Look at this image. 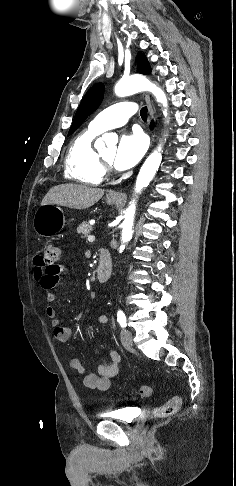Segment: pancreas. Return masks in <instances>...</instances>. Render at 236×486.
<instances>
[{
    "mask_svg": "<svg viewBox=\"0 0 236 486\" xmlns=\"http://www.w3.org/2000/svg\"><path fill=\"white\" fill-rule=\"evenodd\" d=\"M92 226L89 225L87 222H83L79 227L77 228V233L81 236L87 237L90 232L92 231Z\"/></svg>",
    "mask_w": 236,
    "mask_h": 486,
    "instance_id": "obj_1",
    "label": "pancreas"
}]
</instances>
